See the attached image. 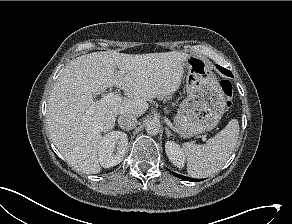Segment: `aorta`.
<instances>
[{"label": "aorta", "mask_w": 292, "mask_h": 224, "mask_svg": "<svg viewBox=\"0 0 292 224\" xmlns=\"http://www.w3.org/2000/svg\"><path fill=\"white\" fill-rule=\"evenodd\" d=\"M160 131V124L156 120H149L146 123V132L150 135H156Z\"/></svg>", "instance_id": "762f6f07"}]
</instances>
